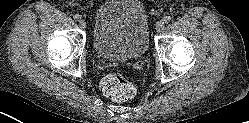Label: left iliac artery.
Returning a JSON list of instances; mask_svg holds the SVG:
<instances>
[{
  "mask_svg": "<svg viewBox=\"0 0 249 123\" xmlns=\"http://www.w3.org/2000/svg\"><path fill=\"white\" fill-rule=\"evenodd\" d=\"M171 18L169 16H164L162 21L166 24H168L170 22Z\"/></svg>",
  "mask_w": 249,
  "mask_h": 123,
  "instance_id": "44dca946",
  "label": "left iliac artery"
}]
</instances>
